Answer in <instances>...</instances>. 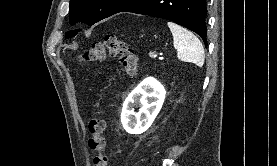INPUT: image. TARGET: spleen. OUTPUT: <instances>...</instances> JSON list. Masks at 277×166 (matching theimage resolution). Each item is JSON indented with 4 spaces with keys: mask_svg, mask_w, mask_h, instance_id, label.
Masks as SVG:
<instances>
[{
    "mask_svg": "<svg viewBox=\"0 0 277 166\" xmlns=\"http://www.w3.org/2000/svg\"><path fill=\"white\" fill-rule=\"evenodd\" d=\"M173 35V45L181 61L194 63L199 67L204 64V48L200 40L189 30L169 21L167 23Z\"/></svg>",
    "mask_w": 277,
    "mask_h": 166,
    "instance_id": "1",
    "label": "spleen"
}]
</instances>
